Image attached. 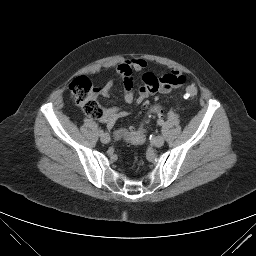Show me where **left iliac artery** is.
<instances>
[{"mask_svg":"<svg viewBox=\"0 0 256 256\" xmlns=\"http://www.w3.org/2000/svg\"><path fill=\"white\" fill-rule=\"evenodd\" d=\"M159 125H163L164 124V121L162 119H159L158 122H157Z\"/></svg>","mask_w":256,"mask_h":256,"instance_id":"obj_1","label":"left iliac artery"}]
</instances>
